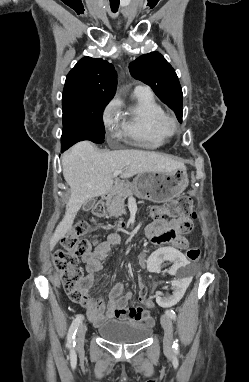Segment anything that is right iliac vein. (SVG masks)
I'll return each mask as SVG.
<instances>
[{
  "label": "right iliac vein",
  "instance_id": "1",
  "mask_svg": "<svg viewBox=\"0 0 249 382\" xmlns=\"http://www.w3.org/2000/svg\"><path fill=\"white\" fill-rule=\"evenodd\" d=\"M87 331V326L86 325H81L78 329L77 336H76V348L81 349L84 344L85 340V334Z\"/></svg>",
  "mask_w": 249,
  "mask_h": 382
}]
</instances>
